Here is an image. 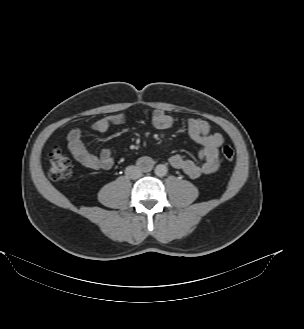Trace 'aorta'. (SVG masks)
I'll use <instances>...</instances> for the list:
<instances>
[{
	"label": "aorta",
	"mask_w": 304,
	"mask_h": 329,
	"mask_svg": "<svg viewBox=\"0 0 304 329\" xmlns=\"http://www.w3.org/2000/svg\"><path fill=\"white\" fill-rule=\"evenodd\" d=\"M168 169L164 164H159L155 167V174L159 177H163L166 175Z\"/></svg>",
	"instance_id": "aorta-1"
}]
</instances>
